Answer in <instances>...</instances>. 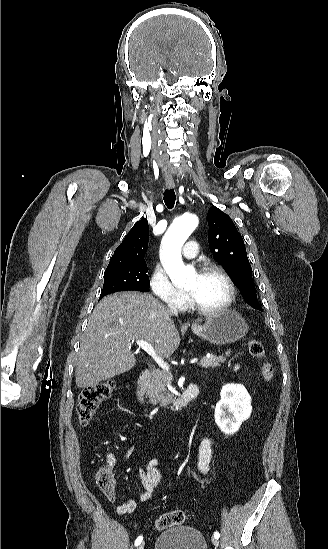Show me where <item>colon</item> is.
I'll return each instance as SVG.
<instances>
[{"mask_svg":"<svg viewBox=\"0 0 328 549\" xmlns=\"http://www.w3.org/2000/svg\"><path fill=\"white\" fill-rule=\"evenodd\" d=\"M249 353L262 360L261 373L265 381L269 382L274 377V367L267 360L266 352L263 344L256 340L250 339L247 342ZM115 389V382L106 380L95 383L85 388L79 395L77 404V415L79 423L82 426H87L94 417L98 405L109 398ZM96 484L101 493L108 499L114 494L112 473L107 468H101L96 473ZM188 519L187 514L182 510H172L162 514L154 522L157 530H164L173 526L181 525Z\"/></svg>","mask_w":328,"mask_h":549,"instance_id":"obj_1","label":"colon"}]
</instances>
